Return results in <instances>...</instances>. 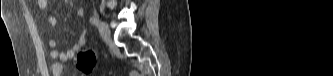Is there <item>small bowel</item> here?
<instances>
[{
	"label": "small bowel",
	"mask_w": 333,
	"mask_h": 76,
	"mask_svg": "<svg viewBox=\"0 0 333 76\" xmlns=\"http://www.w3.org/2000/svg\"><path fill=\"white\" fill-rule=\"evenodd\" d=\"M37 5L41 9H45L48 6L47 0H37ZM84 14L83 8H78L76 10V16L81 17ZM47 22L52 26H57V19L54 16H49L47 18ZM87 43V31L86 29H82L77 42L73 44L70 48H68L65 51H59L58 50V42L54 39L50 40L48 45L50 48V57L52 60L55 61L52 65V72L54 76H61L63 73V65L61 62H68L72 60L76 53Z\"/></svg>",
	"instance_id": "1"
}]
</instances>
